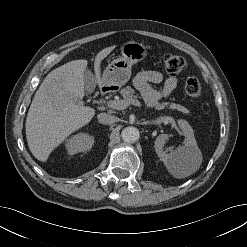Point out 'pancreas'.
<instances>
[{
    "label": "pancreas",
    "instance_id": "obj_1",
    "mask_svg": "<svg viewBox=\"0 0 247 247\" xmlns=\"http://www.w3.org/2000/svg\"><path fill=\"white\" fill-rule=\"evenodd\" d=\"M120 93H121L123 99L128 103H133V102L138 101L137 96L134 95L135 90L133 88H131L130 86H127L126 88L121 89ZM154 106L157 109H164L165 107H169V109H173V110L176 109V110H179L183 113L189 112L185 107H183L179 104H175V103H168V102L158 103V102H156L154 104Z\"/></svg>",
    "mask_w": 247,
    "mask_h": 247
}]
</instances>
